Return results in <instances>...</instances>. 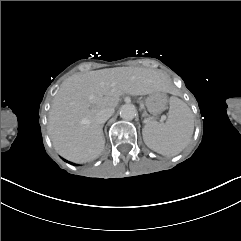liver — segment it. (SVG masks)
<instances>
[{"label": "liver", "instance_id": "6515ba94", "mask_svg": "<svg viewBox=\"0 0 241 241\" xmlns=\"http://www.w3.org/2000/svg\"><path fill=\"white\" fill-rule=\"evenodd\" d=\"M167 77L158 70L125 67L79 73L67 78L55 95L48 133L56 151L75 163L96 159L105 139L96 115L114 110L122 95L166 92Z\"/></svg>", "mask_w": 241, "mask_h": 241}]
</instances>
